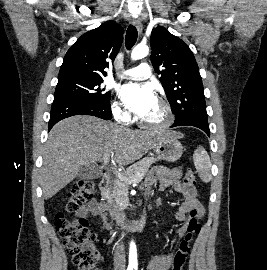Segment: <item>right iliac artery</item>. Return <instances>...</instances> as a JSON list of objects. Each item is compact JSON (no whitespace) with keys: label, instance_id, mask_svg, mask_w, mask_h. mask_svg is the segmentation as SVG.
<instances>
[{"label":"right iliac artery","instance_id":"82829eb1","mask_svg":"<svg viewBox=\"0 0 267 270\" xmlns=\"http://www.w3.org/2000/svg\"><path fill=\"white\" fill-rule=\"evenodd\" d=\"M127 270H133V267H132V266H129V267L127 268Z\"/></svg>","mask_w":267,"mask_h":270}]
</instances>
